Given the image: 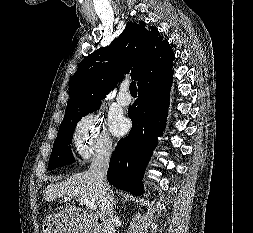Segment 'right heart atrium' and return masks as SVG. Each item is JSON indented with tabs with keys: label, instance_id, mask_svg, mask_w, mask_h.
I'll use <instances>...</instances> for the list:
<instances>
[{
	"label": "right heart atrium",
	"instance_id": "obj_1",
	"mask_svg": "<svg viewBox=\"0 0 253 233\" xmlns=\"http://www.w3.org/2000/svg\"><path fill=\"white\" fill-rule=\"evenodd\" d=\"M73 141L77 153L85 160L95 155L109 154L112 150V141L102 118L97 114H87L78 121Z\"/></svg>",
	"mask_w": 253,
	"mask_h": 233
}]
</instances>
